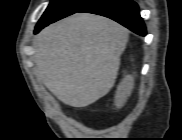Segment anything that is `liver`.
Listing matches in <instances>:
<instances>
[{
    "label": "liver",
    "instance_id": "1",
    "mask_svg": "<svg viewBox=\"0 0 182 140\" xmlns=\"http://www.w3.org/2000/svg\"><path fill=\"white\" fill-rule=\"evenodd\" d=\"M127 41L118 23L76 13L36 36L37 77L64 104L86 107L113 87Z\"/></svg>",
    "mask_w": 182,
    "mask_h": 140
}]
</instances>
